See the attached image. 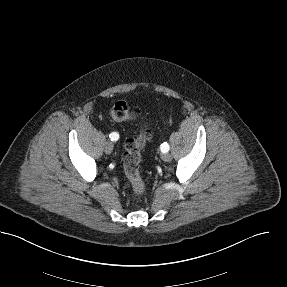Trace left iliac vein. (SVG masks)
Returning a JSON list of instances; mask_svg holds the SVG:
<instances>
[{"label": "left iliac vein", "mask_w": 287, "mask_h": 287, "mask_svg": "<svg viewBox=\"0 0 287 287\" xmlns=\"http://www.w3.org/2000/svg\"><path fill=\"white\" fill-rule=\"evenodd\" d=\"M171 159H172L171 154H169V153H163V154H162V160H163V161L169 162V161H171Z\"/></svg>", "instance_id": "1"}]
</instances>
